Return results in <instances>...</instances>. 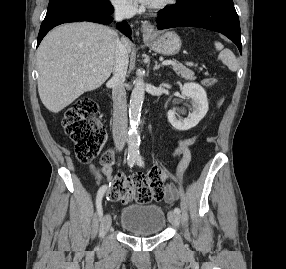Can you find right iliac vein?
<instances>
[{
	"label": "right iliac vein",
	"instance_id": "63e3f726",
	"mask_svg": "<svg viewBox=\"0 0 286 269\" xmlns=\"http://www.w3.org/2000/svg\"><path fill=\"white\" fill-rule=\"evenodd\" d=\"M112 224V218L110 214H106L101 222L100 226V236H104V234L110 229Z\"/></svg>",
	"mask_w": 286,
	"mask_h": 269
}]
</instances>
